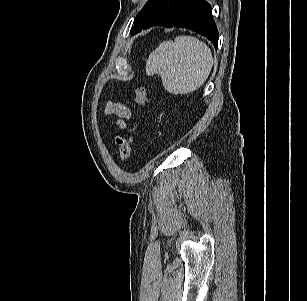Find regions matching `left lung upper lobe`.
Listing matches in <instances>:
<instances>
[{
    "instance_id": "obj_1",
    "label": "left lung upper lobe",
    "mask_w": 307,
    "mask_h": 301,
    "mask_svg": "<svg viewBox=\"0 0 307 301\" xmlns=\"http://www.w3.org/2000/svg\"><path fill=\"white\" fill-rule=\"evenodd\" d=\"M179 0H148L138 13L135 23L139 26L131 28V33L136 34L142 29L149 28L163 18Z\"/></svg>"
}]
</instances>
